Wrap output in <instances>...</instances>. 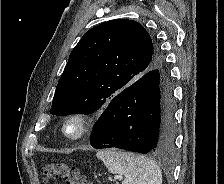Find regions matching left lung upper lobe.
<instances>
[{
  "label": "left lung upper lobe",
  "mask_w": 224,
  "mask_h": 184,
  "mask_svg": "<svg viewBox=\"0 0 224 184\" xmlns=\"http://www.w3.org/2000/svg\"><path fill=\"white\" fill-rule=\"evenodd\" d=\"M153 69H163V59L141 24L127 19L99 24L72 50L50 113L64 116L105 109L117 94Z\"/></svg>",
  "instance_id": "obj_1"
}]
</instances>
